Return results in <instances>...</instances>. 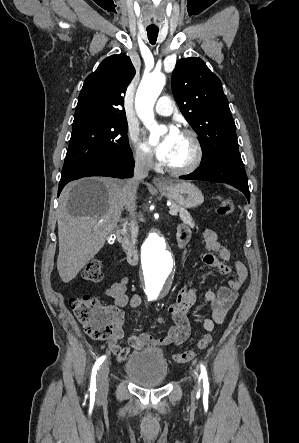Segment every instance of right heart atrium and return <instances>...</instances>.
Returning a JSON list of instances; mask_svg holds the SVG:
<instances>
[{"instance_id":"right-heart-atrium-1","label":"right heart atrium","mask_w":299,"mask_h":443,"mask_svg":"<svg viewBox=\"0 0 299 443\" xmlns=\"http://www.w3.org/2000/svg\"><path fill=\"white\" fill-rule=\"evenodd\" d=\"M130 142L132 144L133 158L135 163L142 168H150L153 164L149 152L139 142L135 131L129 133Z\"/></svg>"}]
</instances>
